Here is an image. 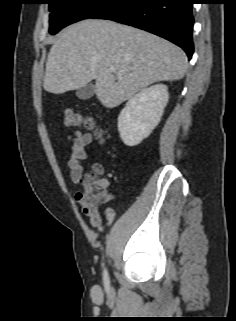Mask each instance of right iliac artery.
I'll use <instances>...</instances> for the list:
<instances>
[{"label":"right iliac artery","instance_id":"82829eb1","mask_svg":"<svg viewBox=\"0 0 236 321\" xmlns=\"http://www.w3.org/2000/svg\"><path fill=\"white\" fill-rule=\"evenodd\" d=\"M103 282H104L105 289L109 290L110 281H109V276H108V272L106 269H104V271H103Z\"/></svg>","mask_w":236,"mask_h":321}]
</instances>
